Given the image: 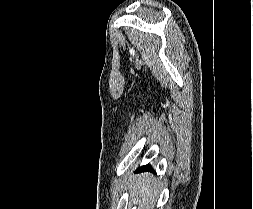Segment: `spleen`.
I'll return each mask as SVG.
<instances>
[{"label": "spleen", "mask_w": 253, "mask_h": 209, "mask_svg": "<svg viewBox=\"0 0 253 209\" xmlns=\"http://www.w3.org/2000/svg\"><path fill=\"white\" fill-rule=\"evenodd\" d=\"M146 182H148V180L146 181ZM140 184H143V190H145L146 191V196L145 195H143L144 197L142 198V201H143V203L147 200V197H149L150 195H151V192H150V190L148 189V185H146V183H144V181L142 180V183H141V180H139L138 181V183H137V185H140Z\"/></svg>", "instance_id": "3e777b00"}]
</instances>
